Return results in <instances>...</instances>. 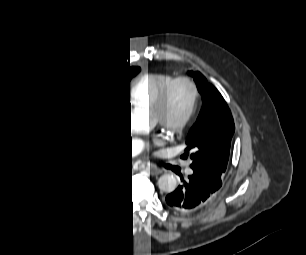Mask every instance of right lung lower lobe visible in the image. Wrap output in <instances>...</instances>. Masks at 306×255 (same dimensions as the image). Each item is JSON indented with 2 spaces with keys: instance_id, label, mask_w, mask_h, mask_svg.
Segmentation results:
<instances>
[{
  "instance_id": "right-lung-lower-lobe-1",
  "label": "right lung lower lobe",
  "mask_w": 306,
  "mask_h": 255,
  "mask_svg": "<svg viewBox=\"0 0 306 255\" xmlns=\"http://www.w3.org/2000/svg\"><path fill=\"white\" fill-rule=\"evenodd\" d=\"M126 177V171L121 168L99 167L77 179L72 188L83 198H92L95 204H104L109 199L117 203L125 193Z\"/></svg>"
}]
</instances>
